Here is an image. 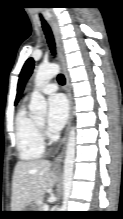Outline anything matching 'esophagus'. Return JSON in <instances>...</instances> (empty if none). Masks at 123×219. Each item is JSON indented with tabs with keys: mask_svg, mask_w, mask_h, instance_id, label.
<instances>
[{
	"mask_svg": "<svg viewBox=\"0 0 123 219\" xmlns=\"http://www.w3.org/2000/svg\"><path fill=\"white\" fill-rule=\"evenodd\" d=\"M51 25H52V29H53L55 39H56L59 60H60V63L62 65L63 73H64L65 80H66V93H67L68 102H69V118H68L67 127L65 130L64 136L61 139V141H60V143H59L58 147L56 148L55 153L53 155L54 164L56 166H60V162L64 156L66 142H67L70 124H71L72 100H71V91H70V81H69V75H68V70H67V60H66V55H65V50H64V45H63L60 27H59L57 21L53 18L51 19Z\"/></svg>",
	"mask_w": 123,
	"mask_h": 219,
	"instance_id": "esophagus-1",
	"label": "esophagus"
}]
</instances>
